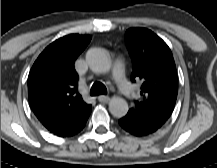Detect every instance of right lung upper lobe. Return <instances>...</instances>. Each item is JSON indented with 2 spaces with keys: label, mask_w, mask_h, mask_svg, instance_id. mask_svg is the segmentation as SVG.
Segmentation results:
<instances>
[{
  "label": "right lung upper lobe",
  "mask_w": 217,
  "mask_h": 168,
  "mask_svg": "<svg viewBox=\"0 0 217 168\" xmlns=\"http://www.w3.org/2000/svg\"><path fill=\"white\" fill-rule=\"evenodd\" d=\"M91 40L70 34L51 43L39 55L28 77V97L39 121L53 134L68 137L82 128L91 113L77 91L74 62Z\"/></svg>",
  "instance_id": "1"
}]
</instances>
